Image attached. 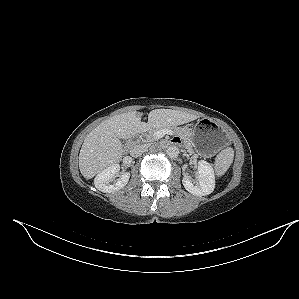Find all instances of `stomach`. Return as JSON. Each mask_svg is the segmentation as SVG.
<instances>
[{
    "instance_id": "0dacf381",
    "label": "stomach",
    "mask_w": 299,
    "mask_h": 299,
    "mask_svg": "<svg viewBox=\"0 0 299 299\" xmlns=\"http://www.w3.org/2000/svg\"><path fill=\"white\" fill-rule=\"evenodd\" d=\"M189 138L194 149L208 157L217 153L228 142L225 130L206 118L197 121L194 128L190 130Z\"/></svg>"
}]
</instances>
